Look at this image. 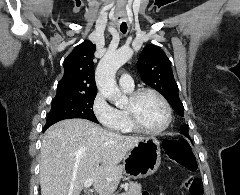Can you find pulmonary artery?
Here are the masks:
<instances>
[{
  "label": "pulmonary artery",
  "mask_w": 240,
  "mask_h": 195,
  "mask_svg": "<svg viewBox=\"0 0 240 195\" xmlns=\"http://www.w3.org/2000/svg\"><path fill=\"white\" fill-rule=\"evenodd\" d=\"M119 84L121 87L129 88V89L133 88L134 86L133 79L130 78V75L128 74L123 75V77L119 79Z\"/></svg>",
  "instance_id": "pulmonary-artery-1"
}]
</instances>
